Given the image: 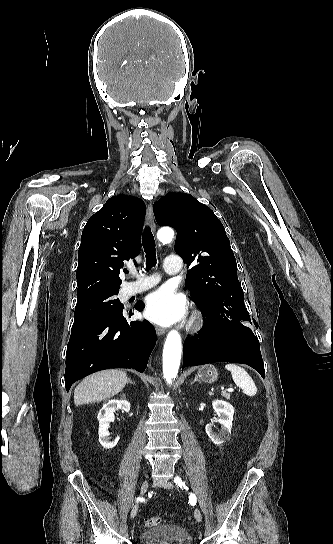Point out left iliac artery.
I'll return each mask as SVG.
<instances>
[{
  "mask_svg": "<svg viewBox=\"0 0 333 544\" xmlns=\"http://www.w3.org/2000/svg\"><path fill=\"white\" fill-rule=\"evenodd\" d=\"M175 484L178 485L179 487L183 488V489H187L185 483L179 478V477H176L175 480H174Z\"/></svg>",
  "mask_w": 333,
  "mask_h": 544,
  "instance_id": "obj_1",
  "label": "left iliac artery"
}]
</instances>
